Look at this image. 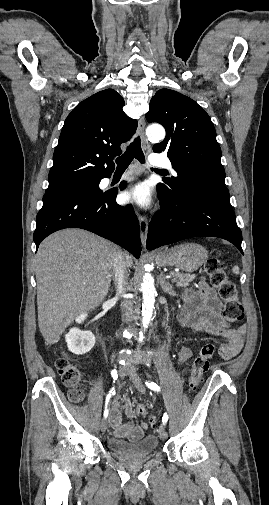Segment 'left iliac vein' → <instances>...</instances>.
<instances>
[{
  "label": "left iliac vein",
  "mask_w": 269,
  "mask_h": 505,
  "mask_svg": "<svg viewBox=\"0 0 269 505\" xmlns=\"http://www.w3.org/2000/svg\"><path fill=\"white\" fill-rule=\"evenodd\" d=\"M127 374L129 375L134 387L141 393L145 392V387L141 381V378L137 372V369L134 365H128L125 367ZM159 435L161 440H166L168 438L167 431L161 427L159 430Z\"/></svg>",
  "instance_id": "1"
}]
</instances>
